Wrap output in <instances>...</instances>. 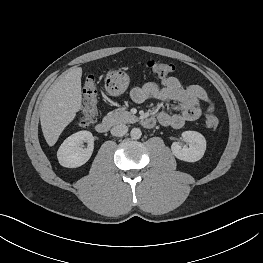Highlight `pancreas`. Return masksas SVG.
<instances>
[{
    "label": "pancreas",
    "instance_id": "obj_1",
    "mask_svg": "<svg viewBox=\"0 0 263 263\" xmlns=\"http://www.w3.org/2000/svg\"><path fill=\"white\" fill-rule=\"evenodd\" d=\"M105 118L114 124L133 123L137 121L136 116L126 110L109 112Z\"/></svg>",
    "mask_w": 263,
    "mask_h": 263
}]
</instances>
